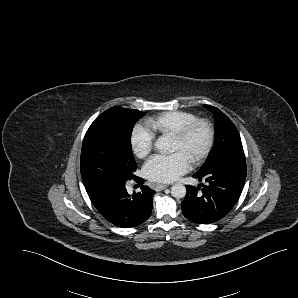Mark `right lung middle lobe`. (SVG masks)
<instances>
[{"label": "right lung middle lobe", "mask_w": 298, "mask_h": 298, "mask_svg": "<svg viewBox=\"0 0 298 298\" xmlns=\"http://www.w3.org/2000/svg\"><path fill=\"white\" fill-rule=\"evenodd\" d=\"M144 115L134 109L112 107L88 128L81 150V176L85 188L126 182L137 165L132 154L131 133Z\"/></svg>", "instance_id": "dd1d6c3e"}]
</instances>
